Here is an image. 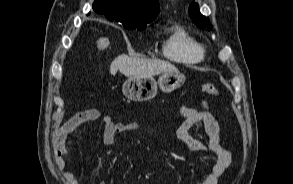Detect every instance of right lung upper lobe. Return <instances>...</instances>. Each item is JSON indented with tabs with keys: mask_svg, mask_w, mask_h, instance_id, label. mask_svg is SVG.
Instances as JSON below:
<instances>
[{
	"mask_svg": "<svg viewBox=\"0 0 293 184\" xmlns=\"http://www.w3.org/2000/svg\"><path fill=\"white\" fill-rule=\"evenodd\" d=\"M92 8L123 26L150 23L160 11L157 0H95Z\"/></svg>",
	"mask_w": 293,
	"mask_h": 184,
	"instance_id": "1",
	"label": "right lung upper lobe"
}]
</instances>
